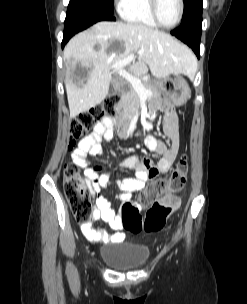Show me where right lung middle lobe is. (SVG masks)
Masks as SVG:
<instances>
[{
  "label": "right lung middle lobe",
  "instance_id": "obj_1",
  "mask_svg": "<svg viewBox=\"0 0 247 304\" xmlns=\"http://www.w3.org/2000/svg\"><path fill=\"white\" fill-rule=\"evenodd\" d=\"M68 7L114 13L113 0H70Z\"/></svg>",
  "mask_w": 247,
  "mask_h": 304
}]
</instances>
